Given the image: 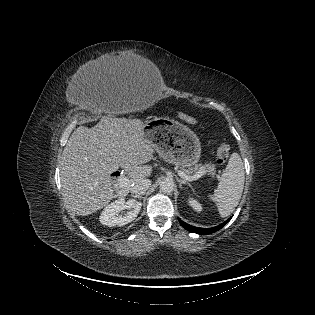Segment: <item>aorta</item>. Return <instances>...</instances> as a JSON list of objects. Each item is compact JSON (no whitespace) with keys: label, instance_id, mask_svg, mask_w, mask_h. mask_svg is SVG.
<instances>
[{"label":"aorta","instance_id":"obj_1","mask_svg":"<svg viewBox=\"0 0 315 315\" xmlns=\"http://www.w3.org/2000/svg\"><path fill=\"white\" fill-rule=\"evenodd\" d=\"M174 186L175 184L172 180L166 179L160 183L159 188L164 193H171L174 190Z\"/></svg>","mask_w":315,"mask_h":315}]
</instances>
